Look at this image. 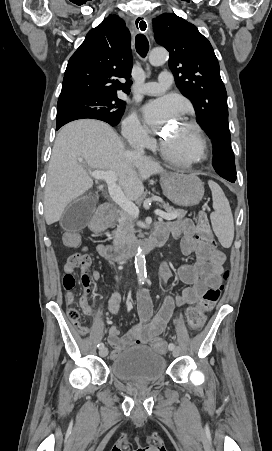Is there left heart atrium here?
Wrapping results in <instances>:
<instances>
[{
	"mask_svg": "<svg viewBox=\"0 0 272 451\" xmlns=\"http://www.w3.org/2000/svg\"><path fill=\"white\" fill-rule=\"evenodd\" d=\"M178 111V106L170 98L165 97L146 106L145 119L153 131H160L173 120Z\"/></svg>",
	"mask_w": 272,
	"mask_h": 451,
	"instance_id": "left-heart-atrium-1",
	"label": "left heart atrium"
}]
</instances>
